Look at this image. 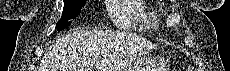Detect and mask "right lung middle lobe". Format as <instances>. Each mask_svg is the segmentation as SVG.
<instances>
[{"instance_id":"dd1d6c3e","label":"right lung middle lobe","mask_w":230,"mask_h":71,"mask_svg":"<svg viewBox=\"0 0 230 71\" xmlns=\"http://www.w3.org/2000/svg\"><path fill=\"white\" fill-rule=\"evenodd\" d=\"M86 4V0H64V8L61 19L57 22V30L68 27L70 20L77 17L82 7Z\"/></svg>"}]
</instances>
